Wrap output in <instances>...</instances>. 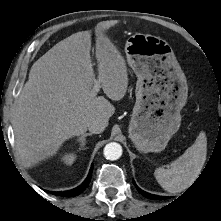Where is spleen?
Segmentation results:
<instances>
[{"label": "spleen", "mask_w": 221, "mask_h": 221, "mask_svg": "<svg viewBox=\"0 0 221 221\" xmlns=\"http://www.w3.org/2000/svg\"><path fill=\"white\" fill-rule=\"evenodd\" d=\"M207 138L201 131L195 141L168 168L155 169L154 176L160 186L169 193L187 189L199 176L206 161Z\"/></svg>", "instance_id": "3e777b00"}]
</instances>
